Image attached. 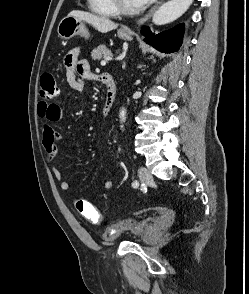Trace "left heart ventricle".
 Masks as SVG:
<instances>
[{"label": "left heart ventricle", "mask_w": 249, "mask_h": 294, "mask_svg": "<svg viewBox=\"0 0 249 294\" xmlns=\"http://www.w3.org/2000/svg\"><path fill=\"white\" fill-rule=\"evenodd\" d=\"M125 6L129 8H137V5L134 0H123Z\"/></svg>", "instance_id": "obj_1"}]
</instances>
